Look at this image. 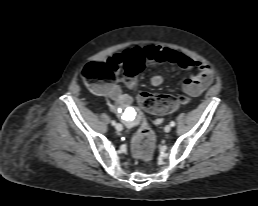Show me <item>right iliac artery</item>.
<instances>
[{"label":"right iliac artery","mask_w":258,"mask_h":206,"mask_svg":"<svg viewBox=\"0 0 258 206\" xmlns=\"http://www.w3.org/2000/svg\"><path fill=\"white\" fill-rule=\"evenodd\" d=\"M111 124H112L113 126H115V125H116V121H115V120H112V121H111Z\"/></svg>","instance_id":"82829eb1"}]
</instances>
